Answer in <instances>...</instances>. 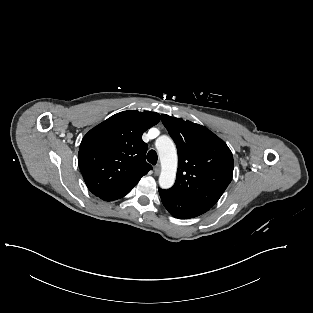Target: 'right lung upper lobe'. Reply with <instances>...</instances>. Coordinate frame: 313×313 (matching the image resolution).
Segmentation results:
<instances>
[{"label": "right lung upper lobe", "instance_id": "right-lung-upper-lobe-1", "mask_svg": "<svg viewBox=\"0 0 313 313\" xmlns=\"http://www.w3.org/2000/svg\"><path fill=\"white\" fill-rule=\"evenodd\" d=\"M160 121L155 112L117 113L91 129L79 148V168L88 189L101 196L131 185L152 169L142 134Z\"/></svg>", "mask_w": 313, "mask_h": 313}]
</instances>
